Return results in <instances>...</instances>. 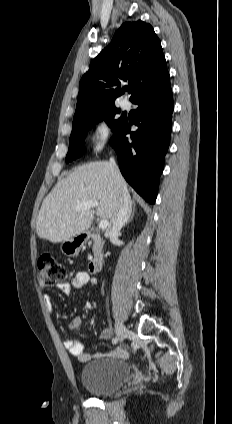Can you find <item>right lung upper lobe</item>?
Instances as JSON below:
<instances>
[{
	"label": "right lung upper lobe",
	"instance_id": "obj_1",
	"mask_svg": "<svg viewBox=\"0 0 232 424\" xmlns=\"http://www.w3.org/2000/svg\"><path fill=\"white\" fill-rule=\"evenodd\" d=\"M166 72L161 43L152 26L140 20L123 23L80 80L74 119L115 106L116 98L125 91L120 87L123 82L132 84L133 102Z\"/></svg>",
	"mask_w": 232,
	"mask_h": 424
}]
</instances>
